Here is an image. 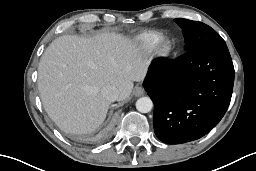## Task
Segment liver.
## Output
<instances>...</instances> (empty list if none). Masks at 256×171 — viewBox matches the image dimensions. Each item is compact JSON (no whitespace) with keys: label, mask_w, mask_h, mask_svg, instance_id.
I'll use <instances>...</instances> for the list:
<instances>
[{"label":"liver","mask_w":256,"mask_h":171,"mask_svg":"<svg viewBox=\"0 0 256 171\" xmlns=\"http://www.w3.org/2000/svg\"><path fill=\"white\" fill-rule=\"evenodd\" d=\"M147 63L128 38L102 33L91 38L61 36L47 47L38 66L42 104L64 132L93 133L104 122L110 101L105 86H115L118 101L142 81Z\"/></svg>","instance_id":"1"}]
</instances>
